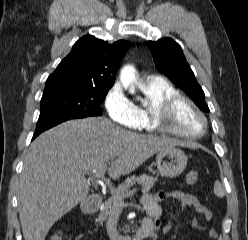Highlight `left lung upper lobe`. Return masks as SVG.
<instances>
[{"instance_id":"1","label":"left lung upper lobe","mask_w":248,"mask_h":240,"mask_svg":"<svg viewBox=\"0 0 248 240\" xmlns=\"http://www.w3.org/2000/svg\"><path fill=\"white\" fill-rule=\"evenodd\" d=\"M156 68L179 86L203 111L210 112L205 102V94L191 70L182 48L171 38L149 41Z\"/></svg>"}]
</instances>
